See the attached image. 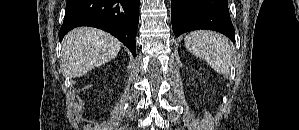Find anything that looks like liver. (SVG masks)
Returning a JSON list of instances; mask_svg holds the SVG:
<instances>
[{
	"label": "liver",
	"instance_id": "liver-1",
	"mask_svg": "<svg viewBox=\"0 0 299 130\" xmlns=\"http://www.w3.org/2000/svg\"><path fill=\"white\" fill-rule=\"evenodd\" d=\"M121 43L96 28L80 27L69 32L62 42L61 68L66 76L80 77L114 59Z\"/></svg>",
	"mask_w": 299,
	"mask_h": 130
}]
</instances>
